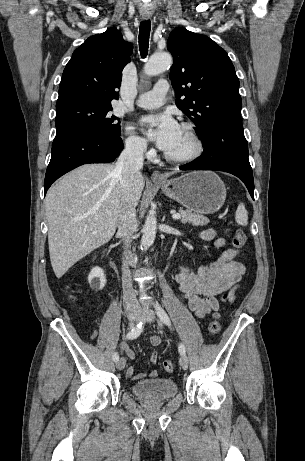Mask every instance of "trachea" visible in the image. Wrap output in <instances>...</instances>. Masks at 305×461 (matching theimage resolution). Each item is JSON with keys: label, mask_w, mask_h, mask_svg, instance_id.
Here are the masks:
<instances>
[{"label": "trachea", "mask_w": 305, "mask_h": 461, "mask_svg": "<svg viewBox=\"0 0 305 461\" xmlns=\"http://www.w3.org/2000/svg\"><path fill=\"white\" fill-rule=\"evenodd\" d=\"M151 23L150 20L142 21L139 28V48L143 58L147 56L149 47Z\"/></svg>", "instance_id": "trachea-1"}]
</instances>
